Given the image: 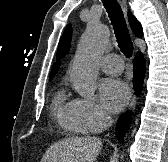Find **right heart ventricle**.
<instances>
[{
	"instance_id": "e07e8e85",
	"label": "right heart ventricle",
	"mask_w": 168,
	"mask_h": 162,
	"mask_svg": "<svg viewBox=\"0 0 168 162\" xmlns=\"http://www.w3.org/2000/svg\"><path fill=\"white\" fill-rule=\"evenodd\" d=\"M72 103L73 101H69L67 99L65 91L60 89L52 102L53 115L57 122L69 130L72 134H85L87 131L80 126L73 117Z\"/></svg>"
}]
</instances>
